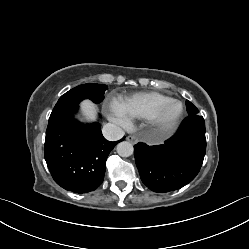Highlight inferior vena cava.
<instances>
[{
  "label": "inferior vena cava",
  "mask_w": 249,
  "mask_h": 249,
  "mask_svg": "<svg viewBox=\"0 0 249 249\" xmlns=\"http://www.w3.org/2000/svg\"><path fill=\"white\" fill-rule=\"evenodd\" d=\"M103 136L109 141H116L124 136V130L112 123H107L102 129Z\"/></svg>",
  "instance_id": "obj_1"
}]
</instances>
